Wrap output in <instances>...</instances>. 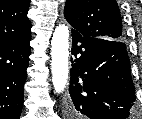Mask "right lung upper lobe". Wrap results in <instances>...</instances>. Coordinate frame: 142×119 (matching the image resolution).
Returning <instances> with one entry per match:
<instances>
[{"label": "right lung upper lobe", "instance_id": "right-lung-upper-lobe-1", "mask_svg": "<svg viewBox=\"0 0 142 119\" xmlns=\"http://www.w3.org/2000/svg\"><path fill=\"white\" fill-rule=\"evenodd\" d=\"M29 6L30 0H0V45L31 34Z\"/></svg>", "mask_w": 142, "mask_h": 119}]
</instances>
